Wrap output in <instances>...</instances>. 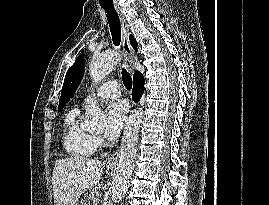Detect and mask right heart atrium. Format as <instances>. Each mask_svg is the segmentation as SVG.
Listing matches in <instances>:
<instances>
[{"label":"right heart atrium","mask_w":269,"mask_h":205,"mask_svg":"<svg viewBox=\"0 0 269 205\" xmlns=\"http://www.w3.org/2000/svg\"><path fill=\"white\" fill-rule=\"evenodd\" d=\"M94 140H95L96 146H100L103 143L102 138L99 136H95Z\"/></svg>","instance_id":"1"}]
</instances>
